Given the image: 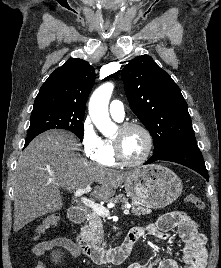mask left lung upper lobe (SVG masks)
I'll list each match as a JSON object with an SVG mask.
<instances>
[{
  "label": "left lung upper lobe",
  "mask_w": 221,
  "mask_h": 268,
  "mask_svg": "<svg viewBox=\"0 0 221 268\" xmlns=\"http://www.w3.org/2000/svg\"><path fill=\"white\" fill-rule=\"evenodd\" d=\"M121 75L130 108L153 137V155L164 153L173 143L195 138L178 85L150 56L136 57Z\"/></svg>",
  "instance_id": "5c2ea615"
}]
</instances>
